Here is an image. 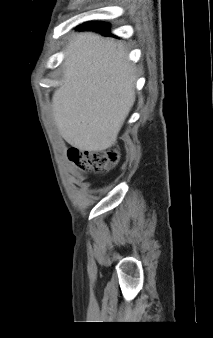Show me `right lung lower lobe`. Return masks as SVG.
<instances>
[{
  "instance_id": "98d812e1",
  "label": "right lung lower lobe",
  "mask_w": 213,
  "mask_h": 338,
  "mask_svg": "<svg viewBox=\"0 0 213 338\" xmlns=\"http://www.w3.org/2000/svg\"><path fill=\"white\" fill-rule=\"evenodd\" d=\"M109 28V24L101 22H87L77 27L79 30H93L104 35H111Z\"/></svg>"
}]
</instances>
